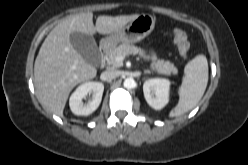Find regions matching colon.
<instances>
[{
  "label": "colon",
  "mask_w": 248,
  "mask_h": 165,
  "mask_svg": "<svg viewBox=\"0 0 248 165\" xmlns=\"http://www.w3.org/2000/svg\"><path fill=\"white\" fill-rule=\"evenodd\" d=\"M173 39L181 56H186L190 51V42L185 31L175 29Z\"/></svg>",
  "instance_id": "1"
}]
</instances>
